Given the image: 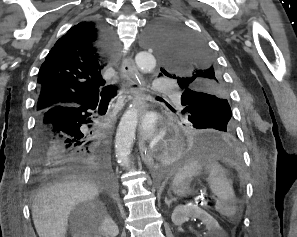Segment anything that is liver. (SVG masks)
<instances>
[{"mask_svg":"<svg viewBox=\"0 0 297 237\" xmlns=\"http://www.w3.org/2000/svg\"><path fill=\"white\" fill-rule=\"evenodd\" d=\"M98 195L99 187L91 178L76 175L36 192L31 210L38 236L65 237L74 207Z\"/></svg>","mask_w":297,"mask_h":237,"instance_id":"liver-1","label":"liver"}]
</instances>
